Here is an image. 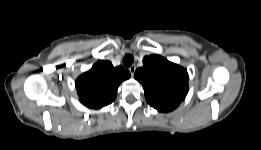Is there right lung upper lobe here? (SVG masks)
<instances>
[{
  "label": "right lung upper lobe",
  "instance_id": "right-lung-upper-lobe-1",
  "mask_svg": "<svg viewBox=\"0 0 261 150\" xmlns=\"http://www.w3.org/2000/svg\"><path fill=\"white\" fill-rule=\"evenodd\" d=\"M130 77L122 66L113 67L111 62L100 60L76 80V89L82 104L89 108H102L117 95L118 86Z\"/></svg>",
  "mask_w": 261,
  "mask_h": 150
}]
</instances>
